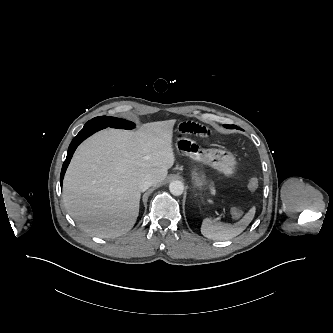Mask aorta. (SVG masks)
<instances>
[{
	"label": "aorta",
	"instance_id": "762f6f07",
	"mask_svg": "<svg viewBox=\"0 0 333 333\" xmlns=\"http://www.w3.org/2000/svg\"><path fill=\"white\" fill-rule=\"evenodd\" d=\"M170 192L175 196H180L184 191V185L181 181H172L169 185Z\"/></svg>",
	"mask_w": 333,
	"mask_h": 333
}]
</instances>
